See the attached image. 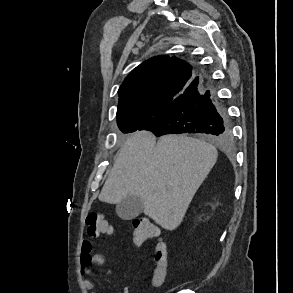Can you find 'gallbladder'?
Instances as JSON below:
<instances>
[{
  "instance_id": "obj_1",
  "label": "gallbladder",
  "mask_w": 293,
  "mask_h": 293,
  "mask_svg": "<svg viewBox=\"0 0 293 293\" xmlns=\"http://www.w3.org/2000/svg\"><path fill=\"white\" fill-rule=\"evenodd\" d=\"M143 210V201L139 196H127L116 206L117 215L123 220H132Z\"/></svg>"
}]
</instances>
